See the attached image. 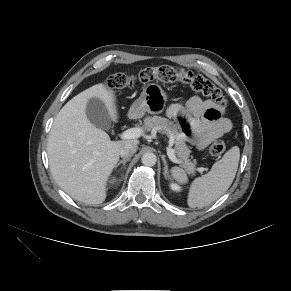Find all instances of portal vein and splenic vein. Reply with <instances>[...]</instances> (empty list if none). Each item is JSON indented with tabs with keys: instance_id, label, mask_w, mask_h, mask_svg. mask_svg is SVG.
I'll list each match as a JSON object with an SVG mask.
<instances>
[{
	"instance_id": "1",
	"label": "portal vein and splenic vein",
	"mask_w": 291,
	"mask_h": 291,
	"mask_svg": "<svg viewBox=\"0 0 291 291\" xmlns=\"http://www.w3.org/2000/svg\"><path fill=\"white\" fill-rule=\"evenodd\" d=\"M143 134V130L141 128H130L124 131L120 137L121 139H135L139 138ZM167 155L168 158L173 162L179 164V159L175 156L173 149L170 147L167 148Z\"/></svg>"
}]
</instances>
